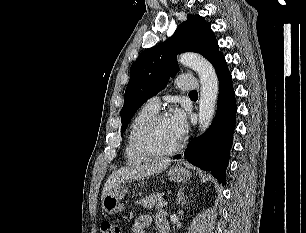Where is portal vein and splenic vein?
<instances>
[{
    "label": "portal vein and splenic vein",
    "mask_w": 306,
    "mask_h": 233,
    "mask_svg": "<svg viewBox=\"0 0 306 233\" xmlns=\"http://www.w3.org/2000/svg\"><path fill=\"white\" fill-rule=\"evenodd\" d=\"M168 203L166 201H160L157 203V208H162L165 207Z\"/></svg>",
    "instance_id": "obj_1"
}]
</instances>
